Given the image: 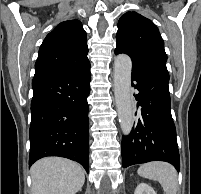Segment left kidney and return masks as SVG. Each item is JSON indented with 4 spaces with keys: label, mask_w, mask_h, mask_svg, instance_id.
<instances>
[{
    "label": "left kidney",
    "mask_w": 201,
    "mask_h": 194,
    "mask_svg": "<svg viewBox=\"0 0 201 194\" xmlns=\"http://www.w3.org/2000/svg\"><path fill=\"white\" fill-rule=\"evenodd\" d=\"M134 194H157L154 189L146 183H140Z\"/></svg>",
    "instance_id": "1"
}]
</instances>
